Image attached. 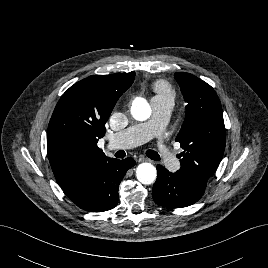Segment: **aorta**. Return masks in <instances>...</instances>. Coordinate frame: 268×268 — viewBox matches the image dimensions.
I'll list each match as a JSON object with an SVG mask.
<instances>
[{"instance_id": "obj_1", "label": "aorta", "mask_w": 268, "mask_h": 268, "mask_svg": "<svg viewBox=\"0 0 268 268\" xmlns=\"http://www.w3.org/2000/svg\"><path fill=\"white\" fill-rule=\"evenodd\" d=\"M131 114L138 121H145L151 116V107L144 98H136L131 106ZM157 176L156 168L150 163H141L136 169V177L142 184H152Z\"/></svg>"}]
</instances>
